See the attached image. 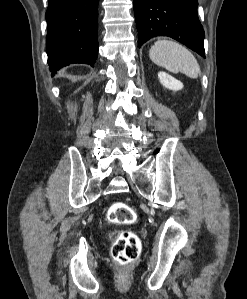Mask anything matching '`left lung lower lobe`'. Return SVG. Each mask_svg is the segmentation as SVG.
Returning <instances> with one entry per match:
<instances>
[{"label": "left lung lower lobe", "instance_id": "left-lung-lower-lobe-1", "mask_svg": "<svg viewBox=\"0 0 247 299\" xmlns=\"http://www.w3.org/2000/svg\"><path fill=\"white\" fill-rule=\"evenodd\" d=\"M133 3L139 47L155 36H168L205 58L197 0H134Z\"/></svg>", "mask_w": 247, "mask_h": 299}]
</instances>
